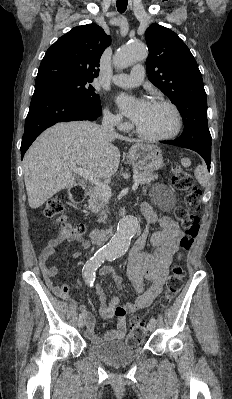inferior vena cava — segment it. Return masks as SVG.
<instances>
[{
    "mask_svg": "<svg viewBox=\"0 0 232 399\" xmlns=\"http://www.w3.org/2000/svg\"><path fill=\"white\" fill-rule=\"evenodd\" d=\"M103 130H108L110 134H115L114 126H116V120H113L109 114H104L102 120Z\"/></svg>",
    "mask_w": 232,
    "mask_h": 399,
    "instance_id": "obj_1",
    "label": "inferior vena cava"
}]
</instances>
